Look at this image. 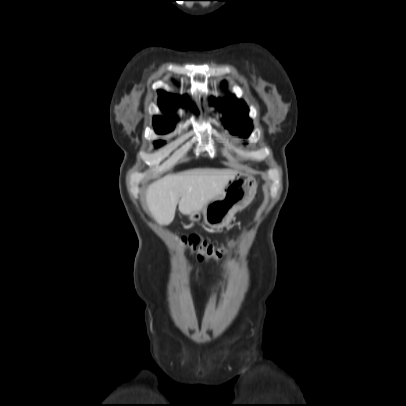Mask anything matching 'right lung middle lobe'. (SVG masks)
Returning <instances> with one entry per match:
<instances>
[{
  "label": "right lung middle lobe",
  "instance_id": "1",
  "mask_svg": "<svg viewBox=\"0 0 406 406\" xmlns=\"http://www.w3.org/2000/svg\"><path fill=\"white\" fill-rule=\"evenodd\" d=\"M154 129L158 134H164L172 131L174 129V124L171 123H154ZM164 143L159 141L156 142L155 145L157 147L163 145Z\"/></svg>",
  "mask_w": 406,
  "mask_h": 406
}]
</instances>
